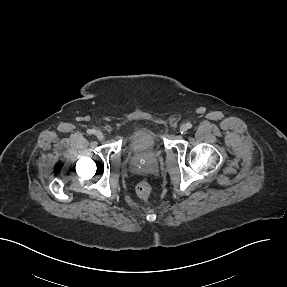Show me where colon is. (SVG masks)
Wrapping results in <instances>:
<instances>
[{"label": "colon", "instance_id": "obj_1", "mask_svg": "<svg viewBox=\"0 0 287 287\" xmlns=\"http://www.w3.org/2000/svg\"><path fill=\"white\" fill-rule=\"evenodd\" d=\"M136 193L140 198L147 200L152 195V187L147 181H142L137 185Z\"/></svg>", "mask_w": 287, "mask_h": 287}]
</instances>
